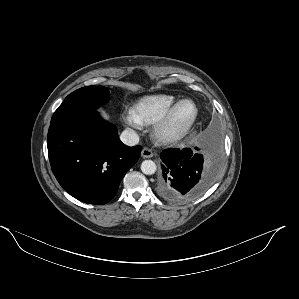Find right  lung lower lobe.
<instances>
[{"instance_id":"1","label":"right lung lower lobe","mask_w":299,"mask_h":299,"mask_svg":"<svg viewBox=\"0 0 299 299\" xmlns=\"http://www.w3.org/2000/svg\"><path fill=\"white\" fill-rule=\"evenodd\" d=\"M48 155L62 188L88 204L108 203L126 172L138 161L141 146L124 145L116 127L94 109L77 110L51 121Z\"/></svg>"}]
</instances>
